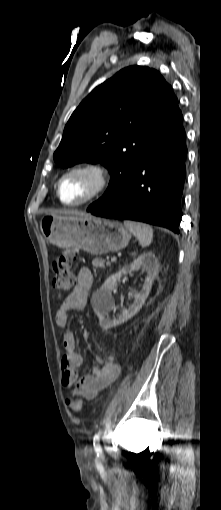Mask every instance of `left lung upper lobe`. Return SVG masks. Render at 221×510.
<instances>
[{"mask_svg": "<svg viewBox=\"0 0 221 510\" xmlns=\"http://www.w3.org/2000/svg\"><path fill=\"white\" fill-rule=\"evenodd\" d=\"M183 116L171 86L148 67L130 66L97 86L77 107L54 153L63 168L101 162L111 179L93 205L116 198L144 157L184 131Z\"/></svg>", "mask_w": 221, "mask_h": 510, "instance_id": "1", "label": "left lung upper lobe"}]
</instances>
